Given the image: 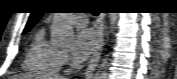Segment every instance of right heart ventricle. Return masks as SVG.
<instances>
[{
	"instance_id": "right-heart-ventricle-1",
	"label": "right heart ventricle",
	"mask_w": 177,
	"mask_h": 79,
	"mask_svg": "<svg viewBox=\"0 0 177 79\" xmlns=\"http://www.w3.org/2000/svg\"><path fill=\"white\" fill-rule=\"evenodd\" d=\"M62 52L48 43L45 30L39 29L26 50L23 69L40 74H55L62 66Z\"/></svg>"
}]
</instances>
